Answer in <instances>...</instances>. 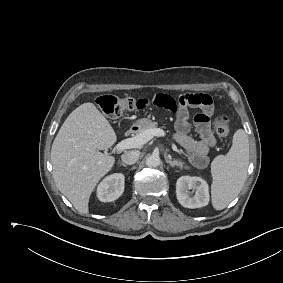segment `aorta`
<instances>
[{
    "instance_id": "762f6f07",
    "label": "aorta",
    "mask_w": 283,
    "mask_h": 283,
    "mask_svg": "<svg viewBox=\"0 0 283 283\" xmlns=\"http://www.w3.org/2000/svg\"><path fill=\"white\" fill-rule=\"evenodd\" d=\"M146 165L149 167H157L160 165V157L158 155H150L146 158Z\"/></svg>"
}]
</instances>
